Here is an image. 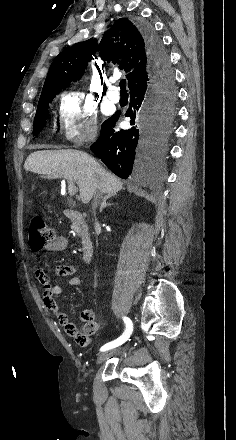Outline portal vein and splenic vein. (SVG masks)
<instances>
[{
  "label": "portal vein and splenic vein",
  "mask_w": 236,
  "mask_h": 440,
  "mask_svg": "<svg viewBox=\"0 0 236 440\" xmlns=\"http://www.w3.org/2000/svg\"><path fill=\"white\" fill-rule=\"evenodd\" d=\"M68 192L70 196H73L77 192V187L74 185L72 179H68Z\"/></svg>",
  "instance_id": "18ae733b"
}]
</instances>
